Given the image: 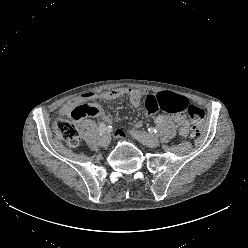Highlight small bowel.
Returning a JSON list of instances; mask_svg holds the SVG:
<instances>
[{
	"mask_svg": "<svg viewBox=\"0 0 248 248\" xmlns=\"http://www.w3.org/2000/svg\"><path fill=\"white\" fill-rule=\"evenodd\" d=\"M145 95V92L141 89H131V88H116L108 91L101 92L99 94H95L93 92L83 93L67 103H65L60 109L59 113L62 116H71V112L74 108L81 105L84 102L93 100L95 98H99L102 100H112L120 97L126 96L130 102V104L134 107H138L141 104V101ZM91 108V113L88 116L95 117L98 119H102L106 122L111 121V116L107 114L101 107L96 105L89 106ZM171 119L178 124L177 132L181 137H188L190 126L187 123L185 116L183 114H172ZM135 127H139V123L135 124ZM116 135L119 138L124 136L122 130H117Z\"/></svg>",
	"mask_w": 248,
	"mask_h": 248,
	"instance_id": "1",
	"label": "small bowel"
}]
</instances>
